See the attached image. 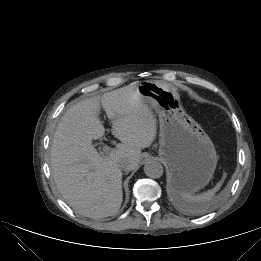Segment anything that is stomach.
Returning <instances> with one entry per match:
<instances>
[{
    "label": "stomach",
    "mask_w": 261,
    "mask_h": 261,
    "mask_svg": "<svg viewBox=\"0 0 261 261\" xmlns=\"http://www.w3.org/2000/svg\"><path fill=\"white\" fill-rule=\"evenodd\" d=\"M138 91L159 117V156L169 168L172 194H194L204 188L217 165V153L209 136L186 114L170 85L143 81Z\"/></svg>",
    "instance_id": "obj_1"
}]
</instances>
